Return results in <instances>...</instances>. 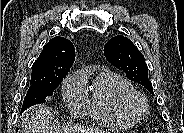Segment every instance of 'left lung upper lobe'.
I'll return each instance as SVG.
<instances>
[{
  "label": "left lung upper lobe",
  "mask_w": 184,
  "mask_h": 133,
  "mask_svg": "<svg viewBox=\"0 0 184 133\" xmlns=\"http://www.w3.org/2000/svg\"><path fill=\"white\" fill-rule=\"evenodd\" d=\"M104 54L106 59L125 72L130 80L138 82L154 94L144 56L130 39L121 35L111 38L104 46Z\"/></svg>",
  "instance_id": "obj_1"
}]
</instances>
